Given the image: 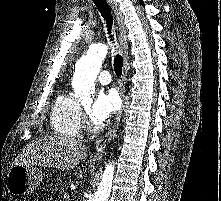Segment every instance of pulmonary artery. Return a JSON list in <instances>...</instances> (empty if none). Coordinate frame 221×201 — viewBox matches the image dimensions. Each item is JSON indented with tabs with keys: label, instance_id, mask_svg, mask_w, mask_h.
<instances>
[{
	"label": "pulmonary artery",
	"instance_id": "obj_1",
	"mask_svg": "<svg viewBox=\"0 0 221 201\" xmlns=\"http://www.w3.org/2000/svg\"><path fill=\"white\" fill-rule=\"evenodd\" d=\"M98 81L103 84V85H107L111 82V75L108 71L104 70L102 72H100L99 76H98Z\"/></svg>",
	"mask_w": 221,
	"mask_h": 201
}]
</instances>
